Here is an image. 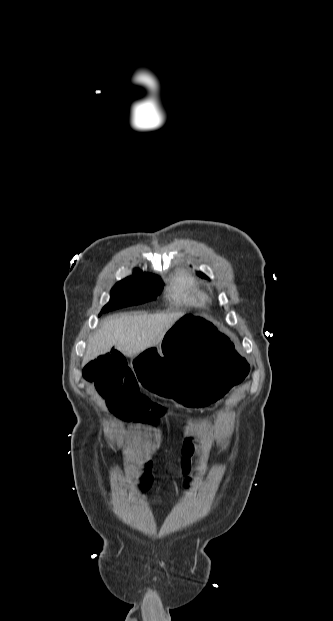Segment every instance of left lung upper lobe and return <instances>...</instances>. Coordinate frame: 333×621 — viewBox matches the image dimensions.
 Wrapping results in <instances>:
<instances>
[{"instance_id":"1","label":"left lung upper lobe","mask_w":333,"mask_h":621,"mask_svg":"<svg viewBox=\"0 0 333 621\" xmlns=\"http://www.w3.org/2000/svg\"><path fill=\"white\" fill-rule=\"evenodd\" d=\"M198 275L201 276L202 278H207V276L203 274L202 272H199Z\"/></svg>"}]
</instances>
